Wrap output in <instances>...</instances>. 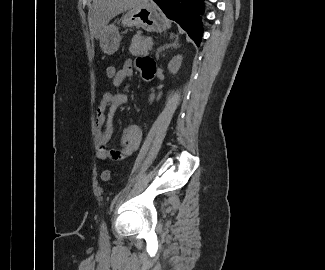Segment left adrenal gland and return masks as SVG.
<instances>
[{
    "label": "left adrenal gland",
    "mask_w": 325,
    "mask_h": 270,
    "mask_svg": "<svg viewBox=\"0 0 325 270\" xmlns=\"http://www.w3.org/2000/svg\"><path fill=\"white\" fill-rule=\"evenodd\" d=\"M170 47H172V48H179L180 47V45L178 44V40L176 39V41L174 42V43H172V44H166V45H164V46H161V47H159L158 49H157V51H156V58L158 59V57H159V53L160 52H162V51H164L165 49H168V48H170Z\"/></svg>",
    "instance_id": "left-adrenal-gland-1"
}]
</instances>
